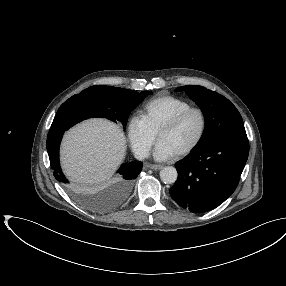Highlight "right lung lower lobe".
<instances>
[{
	"label": "right lung lower lobe",
	"instance_id": "98d812e1",
	"mask_svg": "<svg viewBox=\"0 0 286 286\" xmlns=\"http://www.w3.org/2000/svg\"><path fill=\"white\" fill-rule=\"evenodd\" d=\"M65 128L59 127L55 122L52 123L50 131L47 136V151L50 159V165L53 169L54 176L58 182L68 186L69 180L63 174L59 164V146L63 136ZM142 163L139 161H133L131 163L122 164L118 172L120 179L118 186L120 188L119 201H122V193H126L132 184V180L135 179L141 172Z\"/></svg>",
	"mask_w": 286,
	"mask_h": 286
}]
</instances>
